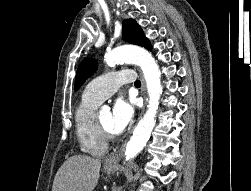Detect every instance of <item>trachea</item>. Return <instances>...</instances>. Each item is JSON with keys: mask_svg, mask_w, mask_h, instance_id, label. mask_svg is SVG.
Listing matches in <instances>:
<instances>
[{"mask_svg": "<svg viewBox=\"0 0 251 191\" xmlns=\"http://www.w3.org/2000/svg\"><path fill=\"white\" fill-rule=\"evenodd\" d=\"M134 85L136 87L141 86V81L140 80H136L135 83H134Z\"/></svg>", "mask_w": 251, "mask_h": 191, "instance_id": "3493384b", "label": "trachea"}]
</instances>
